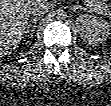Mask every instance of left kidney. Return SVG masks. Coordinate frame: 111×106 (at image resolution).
Here are the masks:
<instances>
[{
	"instance_id": "left-kidney-1",
	"label": "left kidney",
	"mask_w": 111,
	"mask_h": 106,
	"mask_svg": "<svg viewBox=\"0 0 111 106\" xmlns=\"http://www.w3.org/2000/svg\"><path fill=\"white\" fill-rule=\"evenodd\" d=\"M76 26L82 39L91 45L103 42L109 34L108 22L93 15H79Z\"/></svg>"
}]
</instances>
